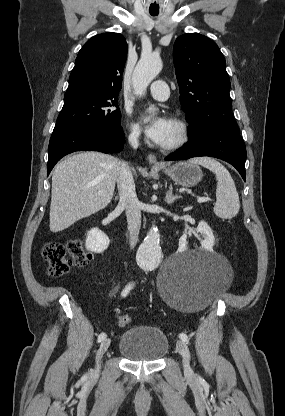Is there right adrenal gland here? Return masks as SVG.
<instances>
[{
    "label": "right adrenal gland",
    "mask_w": 285,
    "mask_h": 416,
    "mask_svg": "<svg viewBox=\"0 0 285 416\" xmlns=\"http://www.w3.org/2000/svg\"><path fill=\"white\" fill-rule=\"evenodd\" d=\"M114 200H119V196H115Z\"/></svg>",
    "instance_id": "obj_1"
}]
</instances>
